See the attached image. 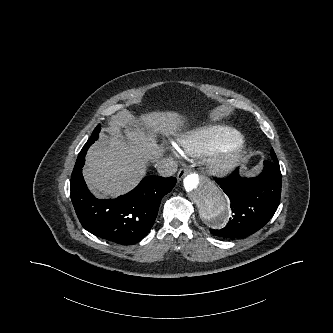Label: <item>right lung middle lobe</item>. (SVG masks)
Segmentation results:
<instances>
[{
	"label": "right lung middle lobe",
	"instance_id": "dd1d6c3e",
	"mask_svg": "<svg viewBox=\"0 0 333 333\" xmlns=\"http://www.w3.org/2000/svg\"><path fill=\"white\" fill-rule=\"evenodd\" d=\"M99 131H100V125L95 128V130L93 131L92 136L90 138L97 140Z\"/></svg>",
	"mask_w": 333,
	"mask_h": 333
}]
</instances>
